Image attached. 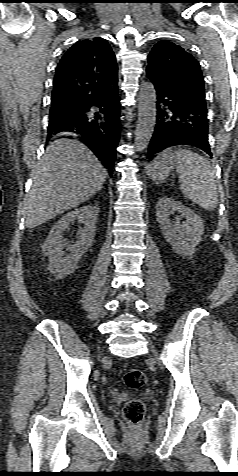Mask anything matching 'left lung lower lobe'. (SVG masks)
Segmentation results:
<instances>
[{
  "label": "left lung lower lobe",
  "instance_id": "1",
  "mask_svg": "<svg viewBox=\"0 0 238 476\" xmlns=\"http://www.w3.org/2000/svg\"><path fill=\"white\" fill-rule=\"evenodd\" d=\"M150 80L156 91L157 114L148 157L173 146L195 147L212 156L206 106L183 100Z\"/></svg>",
  "mask_w": 238,
  "mask_h": 476
}]
</instances>
